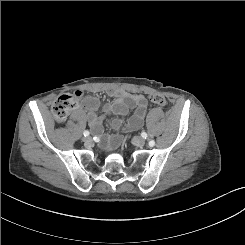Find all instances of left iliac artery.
I'll use <instances>...</instances> for the list:
<instances>
[{
	"mask_svg": "<svg viewBox=\"0 0 245 245\" xmlns=\"http://www.w3.org/2000/svg\"><path fill=\"white\" fill-rule=\"evenodd\" d=\"M146 135V134H145ZM143 137H145V139H146V136H143ZM149 145L151 146V147H153L154 145H155V141L154 140H150L149 141Z\"/></svg>",
	"mask_w": 245,
	"mask_h": 245,
	"instance_id": "44dca946",
	"label": "left iliac artery"
}]
</instances>
